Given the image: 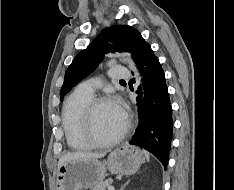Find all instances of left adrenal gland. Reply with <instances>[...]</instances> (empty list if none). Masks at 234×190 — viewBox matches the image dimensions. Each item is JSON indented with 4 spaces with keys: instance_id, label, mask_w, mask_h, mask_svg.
<instances>
[{
    "instance_id": "a2214340",
    "label": "left adrenal gland",
    "mask_w": 234,
    "mask_h": 190,
    "mask_svg": "<svg viewBox=\"0 0 234 190\" xmlns=\"http://www.w3.org/2000/svg\"><path fill=\"white\" fill-rule=\"evenodd\" d=\"M128 183H129V180L121 187L120 190H124V188L126 187V185H128Z\"/></svg>"
}]
</instances>
